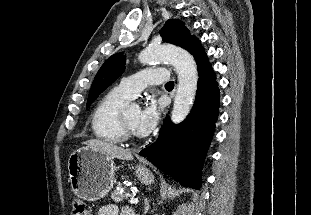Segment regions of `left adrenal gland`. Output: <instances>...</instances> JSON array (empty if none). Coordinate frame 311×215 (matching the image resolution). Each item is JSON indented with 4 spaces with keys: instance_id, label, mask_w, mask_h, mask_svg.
<instances>
[{
    "instance_id": "1",
    "label": "left adrenal gland",
    "mask_w": 311,
    "mask_h": 215,
    "mask_svg": "<svg viewBox=\"0 0 311 215\" xmlns=\"http://www.w3.org/2000/svg\"><path fill=\"white\" fill-rule=\"evenodd\" d=\"M144 213L146 214L148 210L150 209V205L147 199H145V207H144Z\"/></svg>"
}]
</instances>
